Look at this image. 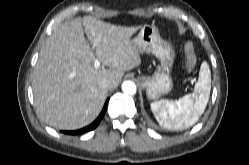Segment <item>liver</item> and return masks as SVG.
Wrapping results in <instances>:
<instances>
[{"label": "liver", "instance_id": "6515ba94", "mask_svg": "<svg viewBox=\"0 0 249 165\" xmlns=\"http://www.w3.org/2000/svg\"><path fill=\"white\" fill-rule=\"evenodd\" d=\"M138 29L91 16L60 25L43 45L33 72L38 115L58 129L74 130L90 124L109 90L102 88L101 82L108 79L115 88L124 71L141 64L139 51L130 39ZM95 59L109 69L95 68Z\"/></svg>", "mask_w": 249, "mask_h": 165}]
</instances>
